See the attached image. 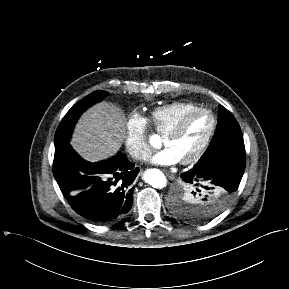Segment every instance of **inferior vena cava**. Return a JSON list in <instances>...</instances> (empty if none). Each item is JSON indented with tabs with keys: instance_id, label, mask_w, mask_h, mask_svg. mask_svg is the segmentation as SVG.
<instances>
[{
	"instance_id": "1",
	"label": "inferior vena cava",
	"mask_w": 289,
	"mask_h": 289,
	"mask_svg": "<svg viewBox=\"0 0 289 289\" xmlns=\"http://www.w3.org/2000/svg\"><path fill=\"white\" fill-rule=\"evenodd\" d=\"M149 156H150V154L147 153V152H145V151L137 152V153L134 154V157H135L136 159H139V160H141V159H142V160H145V159H147Z\"/></svg>"
}]
</instances>
